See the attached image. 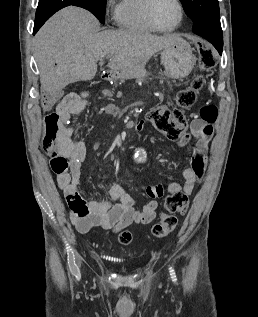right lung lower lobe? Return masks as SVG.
Returning a JSON list of instances; mask_svg holds the SVG:
<instances>
[{
    "mask_svg": "<svg viewBox=\"0 0 258 317\" xmlns=\"http://www.w3.org/2000/svg\"><path fill=\"white\" fill-rule=\"evenodd\" d=\"M78 6L91 12L88 0H39L36 11L33 35L58 10L69 6Z\"/></svg>",
    "mask_w": 258,
    "mask_h": 317,
    "instance_id": "obj_1",
    "label": "right lung lower lobe"
}]
</instances>
